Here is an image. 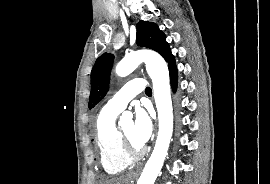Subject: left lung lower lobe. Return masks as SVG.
Returning a JSON list of instances; mask_svg holds the SVG:
<instances>
[{"label":"left lung lower lobe","instance_id":"0a47b994","mask_svg":"<svg viewBox=\"0 0 270 184\" xmlns=\"http://www.w3.org/2000/svg\"><path fill=\"white\" fill-rule=\"evenodd\" d=\"M167 63L169 68L171 86L172 89L175 91L177 88L178 71L175 63V58L173 55L168 59Z\"/></svg>","mask_w":270,"mask_h":184}]
</instances>
